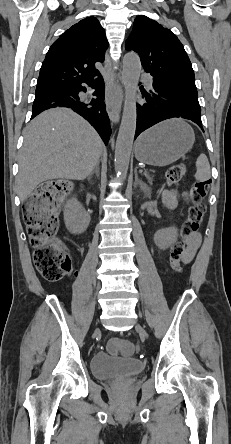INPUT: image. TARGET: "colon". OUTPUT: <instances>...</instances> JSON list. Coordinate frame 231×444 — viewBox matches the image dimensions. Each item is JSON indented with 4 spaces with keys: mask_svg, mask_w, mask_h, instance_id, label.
Listing matches in <instances>:
<instances>
[{
    "mask_svg": "<svg viewBox=\"0 0 231 444\" xmlns=\"http://www.w3.org/2000/svg\"><path fill=\"white\" fill-rule=\"evenodd\" d=\"M186 170L182 163L172 165L166 172L167 184L177 186ZM70 188L71 184L67 181L50 180L39 186L25 204L24 220L34 248V263L42 277L50 282L60 280L73 267L70 253L55 239L59 225L58 207ZM207 192L208 183L200 181L184 193V200L190 203L188 216L179 240L170 250L171 265L177 271L182 270V257L188 240L195 235L204 217ZM131 348V344L120 338H113L108 343V350L113 354Z\"/></svg>",
    "mask_w": 231,
    "mask_h": 444,
    "instance_id": "1",
    "label": "colon"
}]
</instances>
